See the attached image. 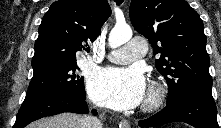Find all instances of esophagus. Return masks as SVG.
I'll return each instance as SVG.
<instances>
[{"mask_svg":"<svg viewBox=\"0 0 221 128\" xmlns=\"http://www.w3.org/2000/svg\"><path fill=\"white\" fill-rule=\"evenodd\" d=\"M120 127L121 128H130V125H129V123L127 121H122L120 123Z\"/></svg>","mask_w":221,"mask_h":128,"instance_id":"1","label":"esophagus"}]
</instances>
